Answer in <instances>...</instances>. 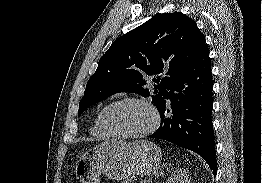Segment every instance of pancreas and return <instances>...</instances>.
Segmentation results:
<instances>
[{
  "label": "pancreas",
  "instance_id": "1",
  "mask_svg": "<svg viewBox=\"0 0 262 183\" xmlns=\"http://www.w3.org/2000/svg\"><path fill=\"white\" fill-rule=\"evenodd\" d=\"M134 181L133 177H128L125 181H123L122 183H131Z\"/></svg>",
  "mask_w": 262,
  "mask_h": 183
}]
</instances>
